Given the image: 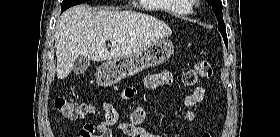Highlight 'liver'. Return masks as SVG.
I'll return each mask as SVG.
<instances>
[{
	"label": "liver",
	"instance_id": "1",
	"mask_svg": "<svg viewBox=\"0 0 280 137\" xmlns=\"http://www.w3.org/2000/svg\"><path fill=\"white\" fill-rule=\"evenodd\" d=\"M171 34L166 23L146 14L74 6L61 15L56 25L57 77L65 79L80 56L93 61L123 58ZM107 41L111 42L110 51Z\"/></svg>",
	"mask_w": 280,
	"mask_h": 137
}]
</instances>
